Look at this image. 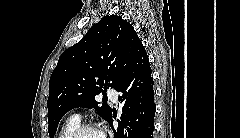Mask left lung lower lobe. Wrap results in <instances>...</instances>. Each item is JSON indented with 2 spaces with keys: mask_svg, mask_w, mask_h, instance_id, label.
<instances>
[{
  "mask_svg": "<svg viewBox=\"0 0 240 138\" xmlns=\"http://www.w3.org/2000/svg\"><path fill=\"white\" fill-rule=\"evenodd\" d=\"M148 55L141 48L123 82L116 89L121 92L119 101L123 104L121 119L117 129H113L115 138H152L154 130L153 78ZM112 114L108 123L112 126Z\"/></svg>",
  "mask_w": 240,
  "mask_h": 138,
  "instance_id": "left-lung-lower-lobe-1",
  "label": "left lung lower lobe"
}]
</instances>
